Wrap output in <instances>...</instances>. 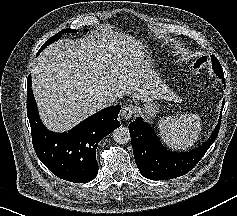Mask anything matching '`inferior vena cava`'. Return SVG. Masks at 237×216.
<instances>
[{"label": "inferior vena cava", "instance_id": "obj_1", "mask_svg": "<svg viewBox=\"0 0 237 216\" xmlns=\"http://www.w3.org/2000/svg\"><path fill=\"white\" fill-rule=\"evenodd\" d=\"M100 103L102 107L117 105V94L110 91L106 92L105 95L101 96Z\"/></svg>", "mask_w": 237, "mask_h": 216}]
</instances>
